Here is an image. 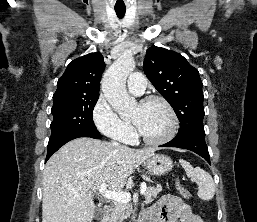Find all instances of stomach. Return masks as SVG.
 I'll return each instance as SVG.
<instances>
[{"mask_svg":"<svg viewBox=\"0 0 257 222\" xmlns=\"http://www.w3.org/2000/svg\"><path fill=\"white\" fill-rule=\"evenodd\" d=\"M149 173L155 176H161L173 168V161L170 157L162 154H155L144 162Z\"/></svg>","mask_w":257,"mask_h":222,"instance_id":"stomach-1","label":"stomach"}]
</instances>
